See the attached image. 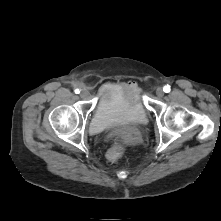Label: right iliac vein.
Here are the masks:
<instances>
[{
	"instance_id": "obj_1",
	"label": "right iliac vein",
	"mask_w": 221,
	"mask_h": 221,
	"mask_svg": "<svg viewBox=\"0 0 221 221\" xmlns=\"http://www.w3.org/2000/svg\"><path fill=\"white\" fill-rule=\"evenodd\" d=\"M87 96H88V91L82 90V91L80 92V97H81V98H86Z\"/></svg>"
}]
</instances>
